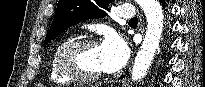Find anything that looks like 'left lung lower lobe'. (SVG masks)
Here are the masks:
<instances>
[{"label":"left lung lower lobe","mask_w":205,"mask_h":87,"mask_svg":"<svg viewBox=\"0 0 205 87\" xmlns=\"http://www.w3.org/2000/svg\"><path fill=\"white\" fill-rule=\"evenodd\" d=\"M161 4L163 5V7H165V0H160ZM124 76H122L121 78H123Z\"/></svg>","instance_id":"1"}]
</instances>
